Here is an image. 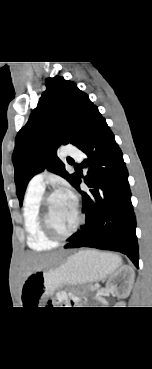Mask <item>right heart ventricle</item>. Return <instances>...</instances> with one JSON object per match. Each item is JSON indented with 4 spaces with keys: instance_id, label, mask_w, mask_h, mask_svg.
Listing matches in <instances>:
<instances>
[{
    "instance_id": "1",
    "label": "right heart ventricle",
    "mask_w": 152,
    "mask_h": 369,
    "mask_svg": "<svg viewBox=\"0 0 152 369\" xmlns=\"http://www.w3.org/2000/svg\"><path fill=\"white\" fill-rule=\"evenodd\" d=\"M44 191L27 188L23 201V223L28 246L37 251L49 250L57 245L50 240L40 224V202Z\"/></svg>"
}]
</instances>
